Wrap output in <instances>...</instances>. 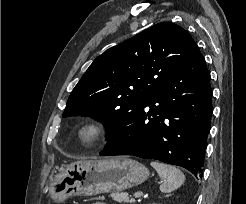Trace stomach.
Instances as JSON below:
<instances>
[{"label":"stomach","mask_w":246,"mask_h":204,"mask_svg":"<svg viewBox=\"0 0 246 204\" xmlns=\"http://www.w3.org/2000/svg\"><path fill=\"white\" fill-rule=\"evenodd\" d=\"M148 177L149 170L143 164L127 157L77 161L49 178L48 191L52 200L64 202L73 196L120 192Z\"/></svg>","instance_id":"stomach-1"}]
</instances>
